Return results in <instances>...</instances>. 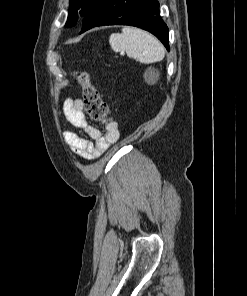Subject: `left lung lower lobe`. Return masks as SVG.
I'll use <instances>...</instances> for the list:
<instances>
[{"label":"left lung lower lobe","instance_id":"left-lung-lower-lobe-1","mask_svg":"<svg viewBox=\"0 0 247 296\" xmlns=\"http://www.w3.org/2000/svg\"><path fill=\"white\" fill-rule=\"evenodd\" d=\"M131 25L154 34L169 50L168 27L157 0H99L84 16L80 33L102 25Z\"/></svg>","mask_w":247,"mask_h":296}]
</instances>
